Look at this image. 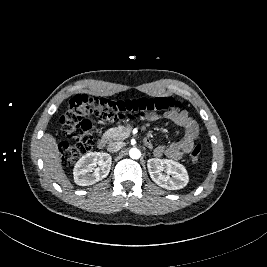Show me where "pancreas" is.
<instances>
[{
	"instance_id": "1",
	"label": "pancreas",
	"mask_w": 267,
	"mask_h": 267,
	"mask_svg": "<svg viewBox=\"0 0 267 267\" xmlns=\"http://www.w3.org/2000/svg\"><path fill=\"white\" fill-rule=\"evenodd\" d=\"M131 132V128L129 127H123V126H118V127H113L105 131L103 134V137L107 140H125Z\"/></svg>"
}]
</instances>
